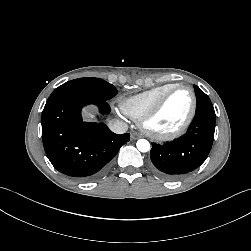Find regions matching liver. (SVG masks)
Listing matches in <instances>:
<instances>
[{
	"label": "liver",
	"instance_id": "1",
	"mask_svg": "<svg viewBox=\"0 0 251 251\" xmlns=\"http://www.w3.org/2000/svg\"><path fill=\"white\" fill-rule=\"evenodd\" d=\"M92 115V109H88L84 111V116L90 117Z\"/></svg>",
	"mask_w": 251,
	"mask_h": 251
}]
</instances>
